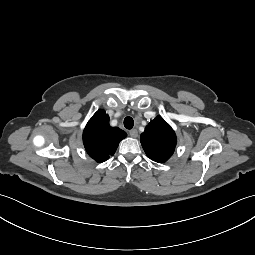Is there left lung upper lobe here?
<instances>
[{
	"mask_svg": "<svg viewBox=\"0 0 255 255\" xmlns=\"http://www.w3.org/2000/svg\"><path fill=\"white\" fill-rule=\"evenodd\" d=\"M140 139L146 155L159 163L172 156L177 143L175 132L161 116H157L146 126Z\"/></svg>",
	"mask_w": 255,
	"mask_h": 255,
	"instance_id": "1",
	"label": "left lung upper lobe"
}]
</instances>
